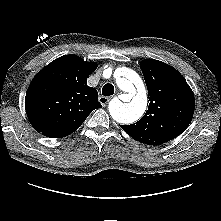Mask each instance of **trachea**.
<instances>
[{
    "label": "trachea",
    "mask_w": 221,
    "mask_h": 221,
    "mask_svg": "<svg viewBox=\"0 0 221 221\" xmlns=\"http://www.w3.org/2000/svg\"><path fill=\"white\" fill-rule=\"evenodd\" d=\"M102 94L104 96H110L114 94V86L110 83H107L102 88Z\"/></svg>",
    "instance_id": "1"
}]
</instances>
